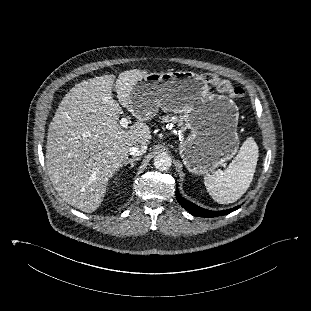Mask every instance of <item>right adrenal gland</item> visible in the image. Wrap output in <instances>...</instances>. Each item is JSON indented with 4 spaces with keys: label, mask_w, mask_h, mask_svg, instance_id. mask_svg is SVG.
<instances>
[{
    "label": "right adrenal gland",
    "mask_w": 311,
    "mask_h": 311,
    "mask_svg": "<svg viewBox=\"0 0 311 311\" xmlns=\"http://www.w3.org/2000/svg\"><path fill=\"white\" fill-rule=\"evenodd\" d=\"M140 160V157H136V158H131L128 161H126L124 163V166H127L128 164H130V167L133 168L134 167V162Z\"/></svg>",
    "instance_id": "right-adrenal-gland-1"
}]
</instances>
